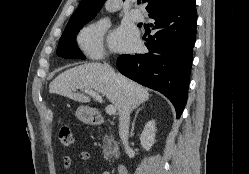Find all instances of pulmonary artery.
<instances>
[{
	"instance_id": "1",
	"label": "pulmonary artery",
	"mask_w": 249,
	"mask_h": 174,
	"mask_svg": "<svg viewBox=\"0 0 249 174\" xmlns=\"http://www.w3.org/2000/svg\"><path fill=\"white\" fill-rule=\"evenodd\" d=\"M129 17L135 22H142L144 19L142 13L137 9L130 10Z\"/></svg>"
}]
</instances>
